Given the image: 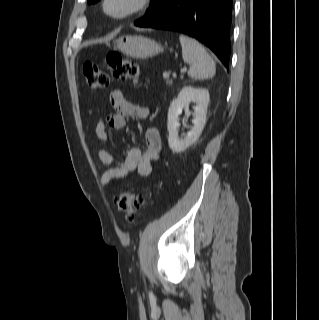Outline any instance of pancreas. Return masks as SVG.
<instances>
[{
	"mask_svg": "<svg viewBox=\"0 0 319 320\" xmlns=\"http://www.w3.org/2000/svg\"><path fill=\"white\" fill-rule=\"evenodd\" d=\"M165 79V78H164ZM166 80V83L168 84L169 83V80L168 79H165Z\"/></svg>",
	"mask_w": 319,
	"mask_h": 320,
	"instance_id": "pancreas-1",
	"label": "pancreas"
}]
</instances>
